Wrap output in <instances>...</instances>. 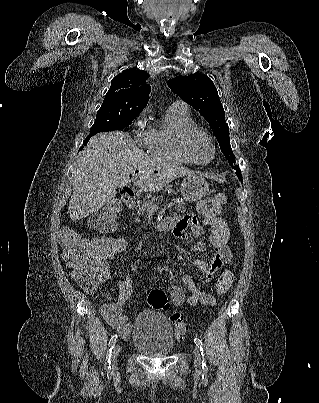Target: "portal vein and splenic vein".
<instances>
[{
    "instance_id": "1",
    "label": "portal vein and splenic vein",
    "mask_w": 319,
    "mask_h": 403,
    "mask_svg": "<svg viewBox=\"0 0 319 403\" xmlns=\"http://www.w3.org/2000/svg\"><path fill=\"white\" fill-rule=\"evenodd\" d=\"M173 206H174V203H173V202H169V203H167V204L165 205L166 208H171V207H173ZM153 209H154V211H157V210L159 209V207H158L157 205H154V206H153Z\"/></svg>"
}]
</instances>
